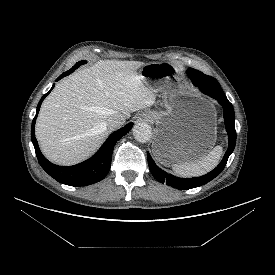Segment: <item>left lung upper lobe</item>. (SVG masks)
Instances as JSON below:
<instances>
[{
    "instance_id": "left-lung-upper-lobe-1",
    "label": "left lung upper lobe",
    "mask_w": 275,
    "mask_h": 275,
    "mask_svg": "<svg viewBox=\"0 0 275 275\" xmlns=\"http://www.w3.org/2000/svg\"><path fill=\"white\" fill-rule=\"evenodd\" d=\"M188 71H189V72H196V71H198V70H195V69H193V68H189ZM199 72H200V71H199ZM214 85H215V88H217V89H219V90H222V89H221V86H220V84L217 82V80H214Z\"/></svg>"
}]
</instances>
